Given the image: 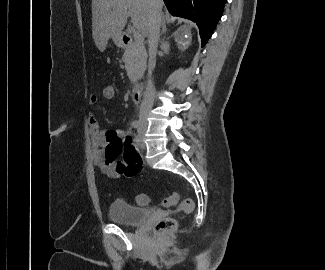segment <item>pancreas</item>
<instances>
[{"label":"pancreas","instance_id":"obj_1","mask_svg":"<svg viewBox=\"0 0 325 270\" xmlns=\"http://www.w3.org/2000/svg\"><path fill=\"white\" fill-rule=\"evenodd\" d=\"M147 52L144 44L137 42L130 45L124 52L122 62L132 84L141 79L146 70Z\"/></svg>","mask_w":325,"mask_h":270}]
</instances>
